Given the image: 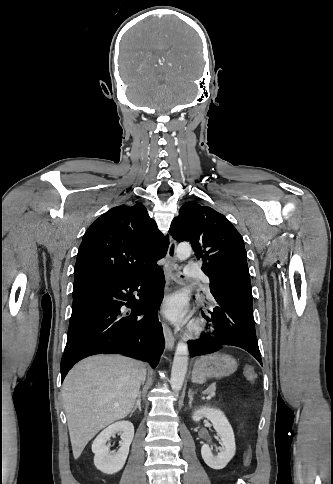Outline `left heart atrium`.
<instances>
[{
  "mask_svg": "<svg viewBox=\"0 0 333 484\" xmlns=\"http://www.w3.org/2000/svg\"><path fill=\"white\" fill-rule=\"evenodd\" d=\"M162 314L173 322H182L187 317L185 300L180 295L166 299L162 306Z\"/></svg>",
  "mask_w": 333,
  "mask_h": 484,
  "instance_id": "obj_1",
  "label": "left heart atrium"
}]
</instances>
